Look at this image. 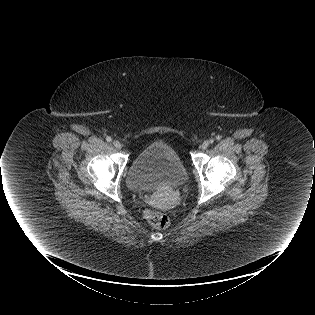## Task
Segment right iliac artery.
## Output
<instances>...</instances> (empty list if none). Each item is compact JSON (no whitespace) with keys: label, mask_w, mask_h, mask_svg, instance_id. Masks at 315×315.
I'll return each instance as SVG.
<instances>
[{"label":"right iliac artery","mask_w":315,"mask_h":315,"mask_svg":"<svg viewBox=\"0 0 315 315\" xmlns=\"http://www.w3.org/2000/svg\"><path fill=\"white\" fill-rule=\"evenodd\" d=\"M106 140H107L108 142H111V141H112V138H111L110 136H108V137H106Z\"/></svg>","instance_id":"right-iliac-artery-1"}]
</instances>
